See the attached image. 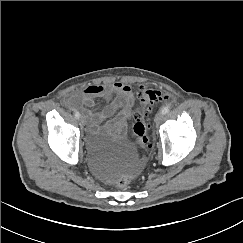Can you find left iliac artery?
<instances>
[{
	"label": "left iliac artery",
	"instance_id": "left-iliac-artery-1",
	"mask_svg": "<svg viewBox=\"0 0 243 243\" xmlns=\"http://www.w3.org/2000/svg\"><path fill=\"white\" fill-rule=\"evenodd\" d=\"M169 110H170V107H169V106H165V107H163V109H162V113H163V114H167V113L169 112Z\"/></svg>",
	"mask_w": 243,
	"mask_h": 243
}]
</instances>
